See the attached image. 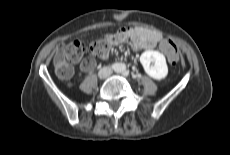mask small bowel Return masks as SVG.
Wrapping results in <instances>:
<instances>
[{
	"instance_id": "1",
	"label": "small bowel",
	"mask_w": 230,
	"mask_h": 155,
	"mask_svg": "<svg viewBox=\"0 0 230 155\" xmlns=\"http://www.w3.org/2000/svg\"><path fill=\"white\" fill-rule=\"evenodd\" d=\"M159 39H165L161 32L145 27H123L117 32L105 36L106 41L110 46L119 45L125 41H130L135 50L141 49H154L157 46ZM109 51L102 55L100 58L105 59L108 57ZM91 67L84 68L85 71L91 70Z\"/></svg>"
}]
</instances>
